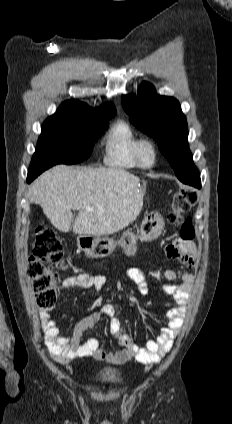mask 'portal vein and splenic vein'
<instances>
[{
  "mask_svg": "<svg viewBox=\"0 0 232 424\" xmlns=\"http://www.w3.org/2000/svg\"><path fill=\"white\" fill-rule=\"evenodd\" d=\"M85 209H86L87 211H94V208H93V207H89V206L85 207Z\"/></svg>",
  "mask_w": 232,
  "mask_h": 424,
  "instance_id": "portal-vein-and-splenic-vein-1",
  "label": "portal vein and splenic vein"
}]
</instances>
